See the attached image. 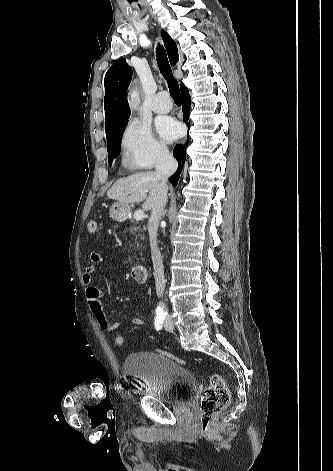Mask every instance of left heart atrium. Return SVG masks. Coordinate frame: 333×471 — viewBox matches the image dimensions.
<instances>
[{
    "mask_svg": "<svg viewBox=\"0 0 333 471\" xmlns=\"http://www.w3.org/2000/svg\"><path fill=\"white\" fill-rule=\"evenodd\" d=\"M157 130L160 136L166 141L176 139L181 132L180 125L171 118L161 119L157 124Z\"/></svg>",
    "mask_w": 333,
    "mask_h": 471,
    "instance_id": "1",
    "label": "left heart atrium"
}]
</instances>
